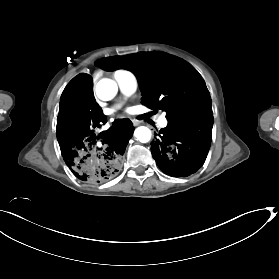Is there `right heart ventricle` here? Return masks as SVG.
I'll use <instances>...</instances> for the list:
<instances>
[{
	"mask_svg": "<svg viewBox=\"0 0 279 279\" xmlns=\"http://www.w3.org/2000/svg\"><path fill=\"white\" fill-rule=\"evenodd\" d=\"M121 71H124V72H127V73H129V74H132L131 72H129V71H126V70H121ZM133 75V74H132Z\"/></svg>",
	"mask_w": 279,
	"mask_h": 279,
	"instance_id": "obj_1",
	"label": "right heart ventricle"
}]
</instances>
